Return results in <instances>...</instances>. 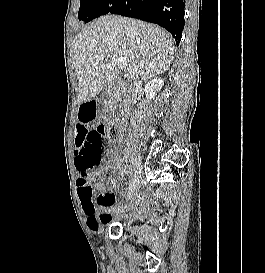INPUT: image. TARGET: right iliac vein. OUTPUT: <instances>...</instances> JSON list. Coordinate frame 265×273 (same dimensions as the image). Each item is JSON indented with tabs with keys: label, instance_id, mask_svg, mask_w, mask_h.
Listing matches in <instances>:
<instances>
[{
	"label": "right iliac vein",
	"instance_id": "63e3f726",
	"mask_svg": "<svg viewBox=\"0 0 265 273\" xmlns=\"http://www.w3.org/2000/svg\"><path fill=\"white\" fill-rule=\"evenodd\" d=\"M140 169L138 171H136L133 183L131 185V194L130 197L137 191L138 187H139V183H140Z\"/></svg>",
	"mask_w": 265,
	"mask_h": 273
}]
</instances>
